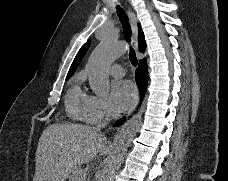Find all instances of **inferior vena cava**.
<instances>
[{
    "label": "inferior vena cava",
    "mask_w": 228,
    "mask_h": 181,
    "mask_svg": "<svg viewBox=\"0 0 228 181\" xmlns=\"http://www.w3.org/2000/svg\"><path fill=\"white\" fill-rule=\"evenodd\" d=\"M109 121H112V115L111 113H106L105 115V123H100V125H96V127H93L97 133H100L101 129H105L106 125H109Z\"/></svg>",
    "instance_id": "inferior-vena-cava-1"
}]
</instances>
